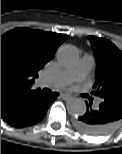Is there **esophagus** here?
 <instances>
[{"label":"esophagus","instance_id":"obj_1","mask_svg":"<svg viewBox=\"0 0 122 154\" xmlns=\"http://www.w3.org/2000/svg\"><path fill=\"white\" fill-rule=\"evenodd\" d=\"M60 96L64 100H69L71 98V95L69 93H65V92L61 93Z\"/></svg>","mask_w":122,"mask_h":154}]
</instances>
